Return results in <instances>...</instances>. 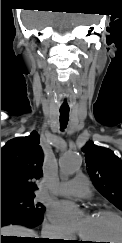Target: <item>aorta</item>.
I'll list each match as a JSON object with an SVG mask.
<instances>
[{
  "label": "aorta",
  "mask_w": 122,
  "mask_h": 243,
  "mask_svg": "<svg viewBox=\"0 0 122 243\" xmlns=\"http://www.w3.org/2000/svg\"><path fill=\"white\" fill-rule=\"evenodd\" d=\"M81 166L80 156L71 151L65 152L59 162L60 173L64 176L70 177L79 171Z\"/></svg>",
  "instance_id": "aorta-1"
}]
</instances>
